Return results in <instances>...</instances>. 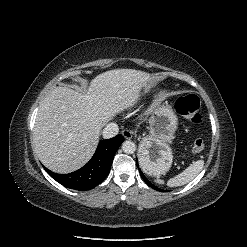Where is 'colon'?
Masks as SVG:
<instances>
[{"label": "colon", "instance_id": "obj_1", "mask_svg": "<svg viewBox=\"0 0 247 247\" xmlns=\"http://www.w3.org/2000/svg\"><path fill=\"white\" fill-rule=\"evenodd\" d=\"M199 108L200 100L194 94L180 97L175 103L176 111L193 123H199L201 121ZM192 149L195 153L202 152L205 149V142L202 139H196Z\"/></svg>", "mask_w": 247, "mask_h": 247}]
</instances>
